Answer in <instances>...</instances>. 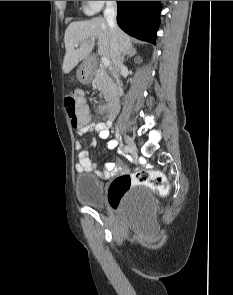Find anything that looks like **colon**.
I'll use <instances>...</instances> for the list:
<instances>
[{
	"label": "colon",
	"instance_id": "colon-1",
	"mask_svg": "<svg viewBox=\"0 0 233 295\" xmlns=\"http://www.w3.org/2000/svg\"><path fill=\"white\" fill-rule=\"evenodd\" d=\"M64 106L74 128L89 122L88 109L81 90L68 93L64 98ZM135 186H145L165 193L168 182L163 173L155 170L143 169L133 174H122L110 183L108 190L110 206L115 210L119 209Z\"/></svg>",
	"mask_w": 233,
	"mask_h": 295
}]
</instances>
